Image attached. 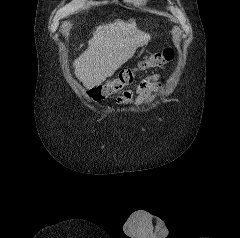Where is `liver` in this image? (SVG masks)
<instances>
[{
  "label": "liver",
  "instance_id": "obj_1",
  "mask_svg": "<svg viewBox=\"0 0 240 238\" xmlns=\"http://www.w3.org/2000/svg\"><path fill=\"white\" fill-rule=\"evenodd\" d=\"M149 40L135 21L101 25L93 32L88 48L74 61L75 75L87 89L100 85Z\"/></svg>",
  "mask_w": 240,
  "mask_h": 238
}]
</instances>
